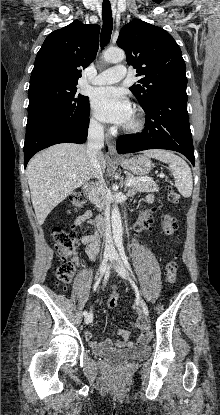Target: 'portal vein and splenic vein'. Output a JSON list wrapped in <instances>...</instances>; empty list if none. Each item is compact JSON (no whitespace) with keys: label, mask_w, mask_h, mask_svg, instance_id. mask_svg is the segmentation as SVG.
<instances>
[{"label":"portal vein and splenic vein","mask_w":220,"mask_h":415,"mask_svg":"<svg viewBox=\"0 0 220 415\" xmlns=\"http://www.w3.org/2000/svg\"><path fill=\"white\" fill-rule=\"evenodd\" d=\"M73 176L75 177V175H73ZM160 177L163 178L164 174H160ZM138 181H152V178L151 177H142V178H139V179H129L126 182V186H131V185H133L134 183H136Z\"/></svg>","instance_id":"portal-vein-and-splenic-vein-1"}]
</instances>
